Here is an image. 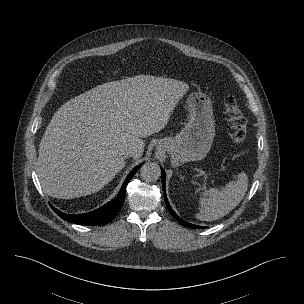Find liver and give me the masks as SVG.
I'll use <instances>...</instances> for the list:
<instances>
[{
  "instance_id": "1",
  "label": "liver",
  "mask_w": 304,
  "mask_h": 304,
  "mask_svg": "<svg viewBox=\"0 0 304 304\" xmlns=\"http://www.w3.org/2000/svg\"><path fill=\"white\" fill-rule=\"evenodd\" d=\"M185 82L137 75L98 85L53 115L39 145L36 171L44 192L72 199L101 190L125 166V152H144L145 138L161 131Z\"/></svg>"
}]
</instances>
